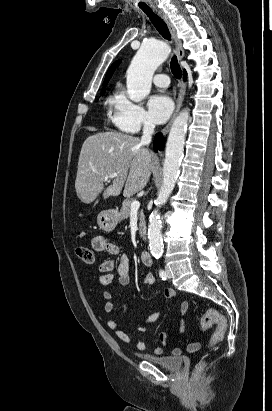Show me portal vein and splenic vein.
Instances as JSON below:
<instances>
[{
  "instance_id": "obj_1",
  "label": "portal vein and splenic vein",
  "mask_w": 272,
  "mask_h": 411,
  "mask_svg": "<svg viewBox=\"0 0 272 411\" xmlns=\"http://www.w3.org/2000/svg\"><path fill=\"white\" fill-rule=\"evenodd\" d=\"M116 176H117V173H113V174H110V175L105 176L104 180L107 181V180H109V179H111V178H115ZM139 207H140V202H139V201L134 200V201L131 203V211L138 210Z\"/></svg>"
}]
</instances>
